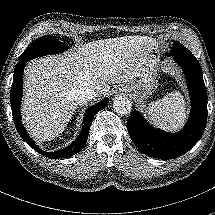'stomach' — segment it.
<instances>
[{
    "label": "stomach",
    "instance_id": "0dacf381",
    "mask_svg": "<svg viewBox=\"0 0 215 215\" xmlns=\"http://www.w3.org/2000/svg\"><path fill=\"white\" fill-rule=\"evenodd\" d=\"M162 46L156 44L152 47L151 52L139 68L140 80L123 82L118 91H128L136 94V98L140 101L148 99L158 88L159 76V56ZM131 95V94H130ZM132 97V96H131Z\"/></svg>",
    "mask_w": 215,
    "mask_h": 215
}]
</instances>
